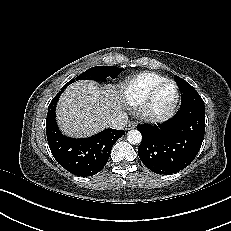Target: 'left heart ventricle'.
<instances>
[{
    "instance_id": "left-heart-ventricle-1",
    "label": "left heart ventricle",
    "mask_w": 231,
    "mask_h": 231,
    "mask_svg": "<svg viewBox=\"0 0 231 231\" xmlns=\"http://www.w3.org/2000/svg\"><path fill=\"white\" fill-rule=\"evenodd\" d=\"M174 87L171 84L164 85L152 100V106L155 110H162L167 107L173 99Z\"/></svg>"
}]
</instances>
